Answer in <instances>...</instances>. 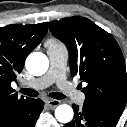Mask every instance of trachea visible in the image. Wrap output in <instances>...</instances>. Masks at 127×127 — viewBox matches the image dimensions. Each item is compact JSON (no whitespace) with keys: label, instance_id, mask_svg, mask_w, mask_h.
Returning a JSON list of instances; mask_svg holds the SVG:
<instances>
[{"label":"trachea","instance_id":"3493384b","mask_svg":"<svg viewBox=\"0 0 127 127\" xmlns=\"http://www.w3.org/2000/svg\"><path fill=\"white\" fill-rule=\"evenodd\" d=\"M21 93H23L24 95H27V96H30V97H37L38 96V92L36 90H33V89H21L20 90ZM49 96L51 98H54V99H64L66 98V96L62 93H59V92H52L49 94Z\"/></svg>","mask_w":127,"mask_h":127}]
</instances>
